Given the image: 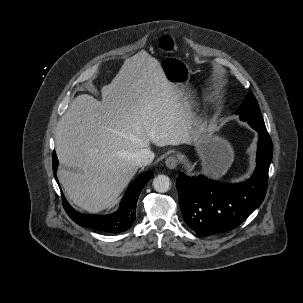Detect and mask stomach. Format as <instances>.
<instances>
[{"mask_svg":"<svg viewBox=\"0 0 303 303\" xmlns=\"http://www.w3.org/2000/svg\"><path fill=\"white\" fill-rule=\"evenodd\" d=\"M160 66L167 79L183 94L192 111L190 130L203 171L214 178L223 176L233 162L234 152L227 140L209 132L207 122L193 112L194 102L188 90L191 69L177 57L164 58Z\"/></svg>","mask_w":303,"mask_h":303,"instance_id":"obj_1","label":"stomach"}]
</instances>
